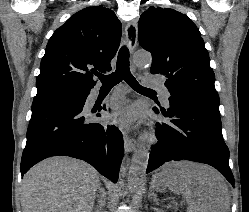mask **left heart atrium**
Instances as JSON below:
<instances>
[{"mask_svg":"<svg viewBox=\"0 0 249 212\" xmlns=\"http://www.w3.org/2000/svg\"><path fill=\"white\" fill-rule=\"evenodd\" d=\"M139 120V112L135 106L127 107L121 110L113 121L123 127H133Z\"/></svg>","mask_w":249,"mask_h":212,"instance_id":"1","label":"left heart atrium"}]
</instances>
